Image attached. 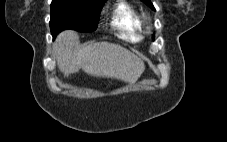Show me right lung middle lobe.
I'll return each instance as SVG.
<instances>
[{
    "label": "right lung middle lobe",
    "instance_id": "1",
    "mask_svg": "<svg viewBox=\"0 0 227 142\" xmlns=\"http://www.w3.org/2000/svg\"><path fill=\"white\" fill-rule=\"evenodd\" d=\"M104 2L90 0H53L50 29L53 37L65 29L80 32L96 30Z\"/></svg>",
    "mask_w": 227,
    "mask_h": 142
}]
</instances>
